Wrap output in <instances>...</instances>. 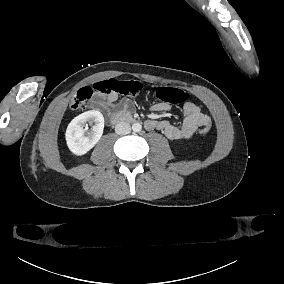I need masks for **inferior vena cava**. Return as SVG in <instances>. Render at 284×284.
<instances>
[{"label": "inferior vena cava", "mask_w": 284, "mask_h": 284, "mask_svg": "<svg viewBox=\"0 0 284 284\" xmlns=\"http://www.w3.org/2000/svg\"><path fill=\"white\" fill-rule=\"evenodd\" d=\"M115 132L119 135H126L131 132V126L127 122H120L115 126Z\"/></svg>", "instance_id": "obj_1"}]
</instances>
